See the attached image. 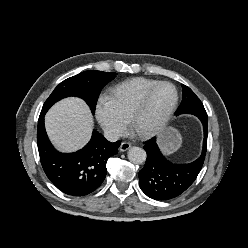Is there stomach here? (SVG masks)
<instances>
[{
  "instance_id": "1",
  "label": "stomach",
  "mask_w": 248,
  "mask_h": 248,
  "mask_svg": "<svg viewBox=\"0 0 248 248\" xmlns=\"http://www.w3.org/2000/svg\"><path fill=\"white\" fill-rule=\"evenodd\" d=\"M181 143V135L172 127L164 129L159 135L160 148L167 155L172 154L179 149Z\"/></svg>"
}]
</instances>
